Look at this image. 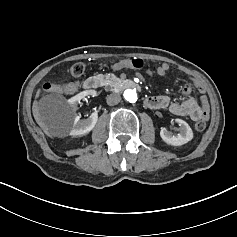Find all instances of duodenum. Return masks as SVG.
Wrapping results in <instances>:
<instances>
[{
	"label": "duodenum",
	"mask_w": 237,
	"mask_h": 237,
	"mask_svg": "<svg viewBox=\"0 0 237 237\" xmlns=\"http://www.w3.org/2000/svg\"><path fill=\"white\" fill-rule=\"evenodd\" d=\"M124 85L128 88H132V89H137L140 90V85L139 83H137L134 80L131 79H126L123 81ZM102 84V79L98 76H91L88 79H86L85 83H84V87L88 90H95L97 88H99Z\"/></svg>",
	"instance_id": "duodenum-1"
}]
</instances>
